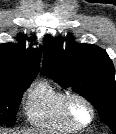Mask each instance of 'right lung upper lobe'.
<instances>
[{"instance_id": "1", "label": "right lung upper lobe", "mask_w": 116, "mask_h": 134, "mask_svg": "<svg viewBox=\"0 0 116 134\" xmlns=\"http://www.w3.org/2000/svg\"><path fill=\"white\" fill-rule=\"evenodd\" d=\"M18 40L0 45V88H15L39 72L41 49H26L25 35Z\"/></svg>"}]
</instances>
